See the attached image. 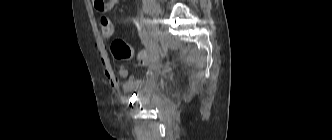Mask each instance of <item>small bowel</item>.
<instances>
[{
  "instance_id": "c3829d8e",
  "label": "small bowel",
  "mask_w": 332,
  "mask_h": 140,
  "mask_svg": "<svg viewBox=\"0 0 332 140\" xmlns=\"http://www.w3.org/2000/svg\"><path fill=\"white\" fill-rule=\"evenodd\" d=\"M111 6L106 10H110ZM144 43L146 45V50H143L139 53V61L142 66H148L153 63L157 54H158V45L155 41L150 40L149 38H144ZM104 71L108 82L113 87H121L124 93L133 92L140 89L144 84L145 80L142 78H136L133 74L129 73L128 68L125 65H120L118 68V76L120 78L126 79L122 84L115 76L110 64L108 61L103 63ZM153 74L151 72L147 73V79H151Z\"/></svg>"
}]
</instances>
